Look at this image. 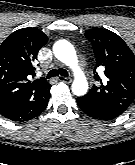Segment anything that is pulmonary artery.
Segmentation results:
<instances>
[{
  "label": "pulmonary artery",
  "mask_w": 135,
  "mask_h": 165,
  "mask_svg": "<svg viewBox=\"0 0 135 165\" xmlns=\"http://www.w3.org/2000/svg\"><path fill=\"white\" fill-rule=\"evenodd\" d=\"M79 62H80V65H81L82 67H84V65H85L84 61L81 59Z\"/></svg>",
  "instance_id": "pulmonary-artery-1"
}]
</instances>
